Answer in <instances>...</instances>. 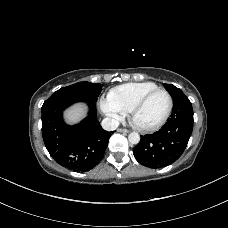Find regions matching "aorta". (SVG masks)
Here are the masks:
<instances>
[{
  "label": "aorta",
  "mask_w": 228,
  "mask_h": 228,
  "mask_svg": "<svg viewBox=\"0 0 228 228\" xmlns=\"http://www.w3.org/2000/svg\"><path fill=\"white\" fill-rule=\"evenodd\" d=\"M128 140L131 144H138L139 141H140V136L138 133L136 132H131L129 135H128Z\"/></svg>",
  "instance_id": "aorta-1"
}]
</instances>
